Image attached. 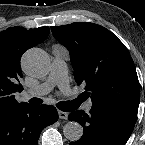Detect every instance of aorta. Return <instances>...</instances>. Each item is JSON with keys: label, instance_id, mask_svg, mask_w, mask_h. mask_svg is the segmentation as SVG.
Returning a JSON list of instances; mask_svg holds the SVG:
<instances>
[{"label": "aorta", "instance_id": "aorta-1", "mask_svg": "<svg viewBox=\"0 0 145 145\" xmlns=\"http://www.w3.org/2000/svg\"><path fill=\"white\" fill-rule=\"evenodd\" d=\"M22 68L28 75L41 78L50 70V59L43 50L31 48L22 57ZM63 134L68 140L77 141L83 135V127L77 122H68L63 127Z\"/></svg>", "mask_w": 145, "mask_h": 145}]
</instances>
